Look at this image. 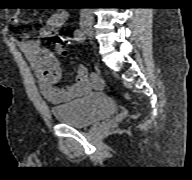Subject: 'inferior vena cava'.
<instances>
[{
  "mask_svg": "<svg viewBox=\"0 0 192 180\" xmlns=\"http://www.w3.org/2000/svg\"><path fill=\"white\" fill-rule=\"evenodd\" d=\"M85 15H88V17L91 19L92 12L84 8L81 12V17H84Z\"/></svg>",
  "mask_w": 192,
  "mask_h": 180,
  "instance_id": "1",
  "label": "inferior vena cava"
}]
</instances>
